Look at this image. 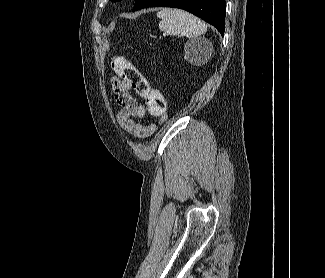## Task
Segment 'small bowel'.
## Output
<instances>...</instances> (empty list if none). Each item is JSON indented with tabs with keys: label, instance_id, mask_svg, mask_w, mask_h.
<instances>
[{
	"label": "small bowel",
	"instance_id": "obj_1",
	"mask_svg": "<svg viewBox=\"0 0 325 278\" xmlns=\"http://www.w3.org/2000/svg\"><path fill=\"white\" fill-rule=\"evenodd\" d=\"M110 86L116 102L121 106L116 116L117 121L137 139H145L151 135L156 129L155 123L134 122V119H143L146 115V108L139 102L135 90L128 83L116 77L110 80ZM165 117V115L159 117V120L162 122Z\"/></svg>",
	"mask_w": 325,
	"mask_h": 278
}]
</instances>
